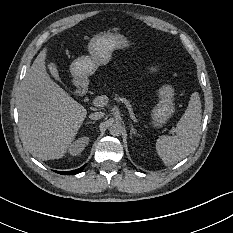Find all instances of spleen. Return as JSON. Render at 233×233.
<instances>
[{
	"label": "spleen",
	"instance_id": "spleen-1",
	"mask_svg": "<svg viewBox=\"0 0 233 233\" xmlns=\"http://www.w3.org/2000/svg\"><path fill=\"white\" fill-rule=\"evenodd\" d=\"M201 101L198 92L192 93L188 107L177 123L176 135H162L157 139L156 150L167 166L185 158L200 141Z\"/></svg>",
	"mask_w": 233,
	"mask_h": 233
}]
</instances>
